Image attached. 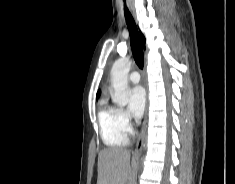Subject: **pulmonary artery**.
<instances>
[{"label": "pulmonary artery", "mask_w": 235, "mask_h": 184, "mask_svg": "<svg viewBox=\"0 0 235 184\" xmlns=\"http://www.w3.org/2000/svg\"><path fill=\"white\" fill-rule=\"evenodd\" d=\"M128 80L133 84H137L140 82L141 76L138 72L134 71L129 74Z\"/></svg>", "instance_id": "obj_1"}]
</instances>
